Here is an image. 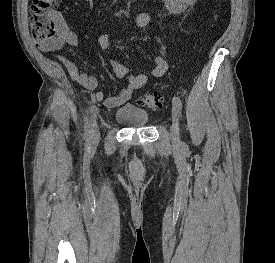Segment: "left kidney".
Masks as SVG:
<instances>
[{"instance_id":"5707ae66","label":"left kidney","mask_w":275,"mask_h":263,"mask_svg":"<svg viewBox=\"0 0 275 263\" xmlns=\"http://www.w3.org/2000/svg\"><path fill=\"white\" fill-rule=\"evenodd\" d=\"M166 8L173 14H179L195 2V0H163Z\"/></svg>"}]
</instances>
